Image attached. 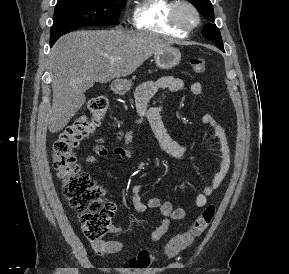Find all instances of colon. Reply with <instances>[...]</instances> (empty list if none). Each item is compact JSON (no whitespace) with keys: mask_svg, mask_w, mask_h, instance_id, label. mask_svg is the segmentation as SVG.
<instances>
[{"mask_svg":"<svg viewBox=\"0 0 289 274\" xmlns=\"http://www.w3.org/2000/svg\"><path fill=\"white\" fill-rule=\"evenodd\" d=\"M190 65L194 73L202 74L206 63L203 58H192ZM108 108L103 96H95L88 101L89 116H79L69 124L53 144V166L62 181L63 193L81 221L84 235L98 242L111 229V218L115 205L103 198L104 190L85 172L81 171L73 150L99 125ZM216 214L215 205H208L198 215L190 228L173 237L165 247V254L172 258L184 250L212 223ZM155 255L147 250L140 251L130 259L131 268H147Z\"/></svg>","mask_w":289,"mask_h":274,"instance_id":"obj_1","label":"colon"}]
</instances>
